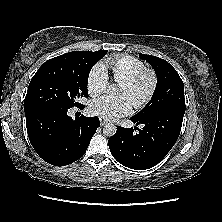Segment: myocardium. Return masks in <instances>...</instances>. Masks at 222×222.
Masks as SVG:
<instances>
[{
	"instance_id": "f54148a6",
	"label": "myocardium",
	"mask_w": 222,
	"mask_h": 222,
	"mask_svg": "<svg viewBox=\"0 0 222 222\" xmlns=\"http://www.w3.org/2000/svg\"><path fill=\"white\" fill-rule=\"evenodd\" d=\"M146 78H148L150 81L149 88L141 98L136 99L132 103L134 108L136 109H141L145 107L154 96L158 85L157 74L155 73V71L145 68L140 72L136 73L135 75H133L132 77H130L129 79L122 82V84H124L130 90H134L141 83V81Z\"/></svg>"
}]
</instances>
